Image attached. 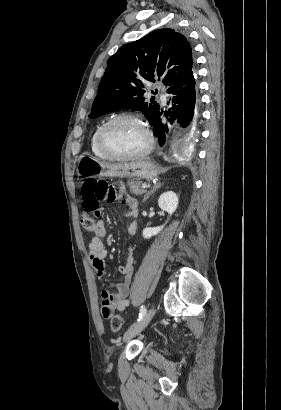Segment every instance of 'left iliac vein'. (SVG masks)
<instances>
[{
    "label": "left iliac vein",
    "mask_w": 281,
    "mask_h": 410,
    "mask_svg": "<svg viewBox=\"0 0 281 410\" xmlns=\"http://www.w3.org/2000/svg\"><path fill=\"white\" fill-rule=\"evenodd\" d=\"M155 315V309L151 308L149 311L145 314V316L141 319V321L138 322L133 328L128 330L124 336H123V342H128L132 338H134L136 335H138L140 332L144 330V328L150 323L152 318Z\"/></svg>",
    "instance_id": "1"
}]
</instances>
